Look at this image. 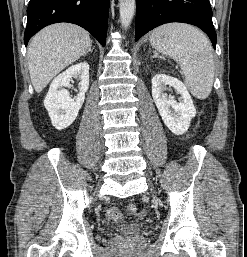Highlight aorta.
<instances>
[{
    "mask_svg": "<svg viewBox=\"0 0 247 257\" xmlns=\"http://www.w3.org/2000/svg\"><path fill=\"white\" fill-rule=\"evenodd\" d=\"M136 0H119V13L122 27L127 30L135 14Z\"/></svg>",
    "mask_w": 247,
    "mask_h": 257,
    "instance_id": "762f6f07",
    "label": "aorta"
}]
</instances>
